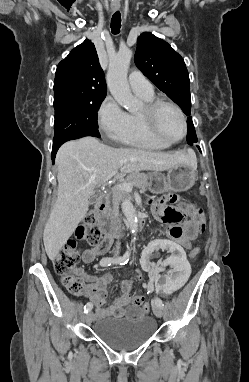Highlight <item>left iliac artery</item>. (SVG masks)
Listing matches in <instances>:
<instances>
[{
  "instance_id": "obj_1",
  "label": "left iliac artery",
  "mask_w": 249,
  "mask_h": 382,
  "mask_svg": "<svg viewBox=\"0 0 249 382\" xmlns=\"http://www.w3.org/2000/svg\"><path fill=\"white\" fill-rule=\"evenodd\" d=\"M151 290V289H150ZM154 303L156 304V305H158L160 308H163L164 307V304H163V302L161 301V299H159V298H155V300H154Z\"/></svg>"
}]
</instances>
